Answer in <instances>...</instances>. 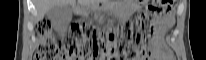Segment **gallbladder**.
<instances>
[{"mask_svg":"<svg viewBox=\"0 0 206 60\" xmlns=\"http://www.w3.org/2000/svg\"><path fill=\"white\" fill-rule=\"evenodd\" d=\"M72 9L70 4H59L53 6L48 12L47 17L50 19L52 26L56 30L65 29L72 19Z\"/></svg>","mask_w":206,"mask_h":60,"instance_id":"bac80fb5","label":"gallbladder"}]
</instances>
